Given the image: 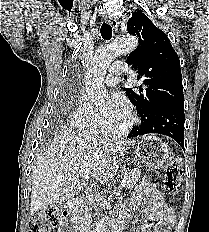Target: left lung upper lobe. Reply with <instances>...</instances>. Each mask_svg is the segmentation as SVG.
I'll return each mask as SVG.
<instances>
[{
    "label": "left lung upper lobe",
    "instance_id": "obj_1",
    "mask_svg": "<svg viewBox=\"0 0 209 232\" xmlns=\"http://www.w3.org/2000/svg\"><path fill=\"white\" fill-rule=\"evenodd\" d=\"M127 30L139 39L127 62L137 69V79L143 78L145 85L127 88V96L140 117L159 107L184 103L180 60L167 35L142 12L132 15Z\"/></svg>",
    "mask_w": 209,
    "mask_h": 232
}]
</instances>
